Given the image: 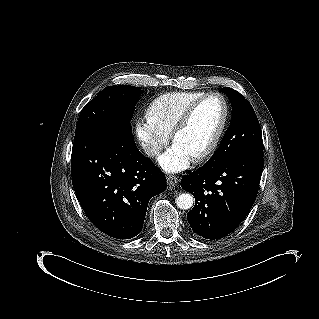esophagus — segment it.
<instances>
[{
  "mask_svg": "<svg viewBox=\"0 0 319 319\" xmlns=\"http://www.w3.org/2000/svg\"><path fill=\"white\" fill-rule=\"evenodd\" d=\"M166 181L169 186H175L178 183V177L175 175H168Z\"/></svg>",
  "mask_w": 319,
  "mask_h": 319,
  "instance_id": "esophagus-1",
  "label": "esophagus"
}]
</instances>
